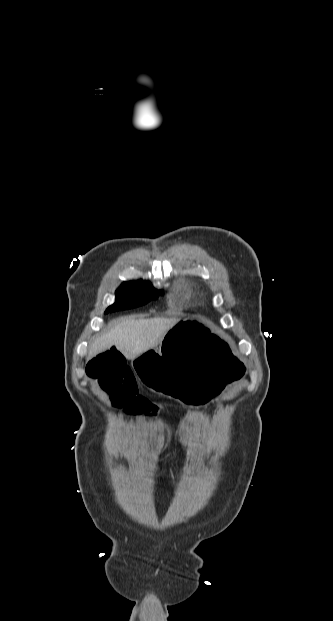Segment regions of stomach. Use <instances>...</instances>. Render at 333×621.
<instances>
[{"label": "stomach", "instance_id": "stomach-1", "mask_svg": "<svg viewBox=\"0 0 333 621\" xmlns=\"http://www.w3.org/2000/svg\"><path fill=\"white\" fill-rule=\"evenodd\" d=\"M199 316L178 322L156 350H147L132 361V367L150 395L174 396L181 402H202L223 394L246 372L243 361L228 354L225 336L213 332ZM209 407L214 404L209 402Z\"/></svg>", "mask_w": 333, "mask_h": 621}]
</instances>
